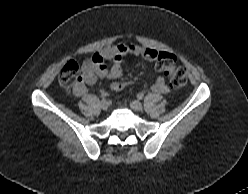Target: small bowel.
<instances>
[{
	"instance_id": "small-bowel-1",
	"label": "small bowel",
	"mask_w": 248,
	"mask_h": 194,
	"mask_svg": "<svg viewBox=\"0 0 248 194\" xmlns=\"http://www.w3.org/2000/svg\"><path fill=\"white\" fill-rule=\"evenodd\" d=\"M155 51L134 44H117L107 46L101 51L85 59L82 66L81 79L75 84L73 92L76 96L87 94L86 85L94 84L97 79H117L122 75L123 58L127 55H140L153 60ZM108 62H111L109 65ZM151 89L159 94H166L169 88L163 77L158 76Z\"/></svg>"
}]
</instances>
